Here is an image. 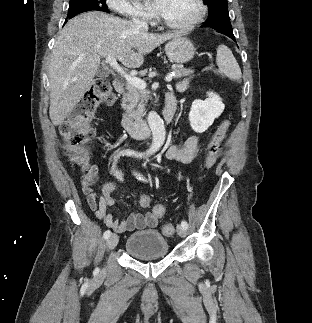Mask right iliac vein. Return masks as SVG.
Segmentation results:
<instances>
[{"instance_id":"right-iliac-vein-1","label":"right iliac vein","mask_w":312,"mask_h":323,"mask_svg":"<svg viewBox=\"0 0 312 323\" xmlns=\"http://www.w3.org/2000/svg\"><path fill=\"white\" fill-rule=\"evenodd\" d=\"M118 235L112 234L110 237L107 238L106 244L108 249H114L118 243Z\"/></svg>"}]
</instances>
